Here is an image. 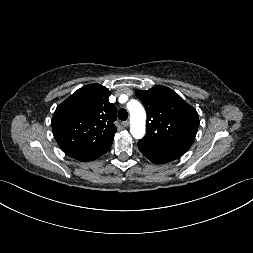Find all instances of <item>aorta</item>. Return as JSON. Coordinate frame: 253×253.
Segmentation results:
<instances>
[{
    "label": "aorta",
    "mask_w": 253,
    "mask_h": 253,
    "mask_svg": "<svg viewBox=\"0 0 253 253\" xmlns=\"http://www.w3.org/2000/svg\"><path fill=\"white\" fill-rule=\"evenodd\" d=\"M127 108L130 112V132L134 138L141 139L145 135L146 112L136 100H131Z\"/></svg>",
    "instance_id": "aorta-1"
}]
</instances>
